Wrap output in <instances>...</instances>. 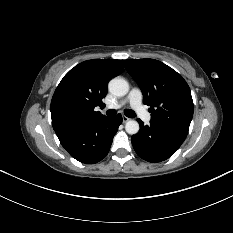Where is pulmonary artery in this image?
Masks as SVG:
<instances>
[{
	"instance_id": "1",
	"label": "pulmonary artery",
	"mask_w": 233,
	"mask_h": 233,
	"mask_svg": "<svg viewBox=\"0 0 233 233\" xmlns=\"http://www.w3.org/2000/svg\"><path fill=\"white\" fill-rule=\"evenodd\" d=\"M126 103H129L130 106L134 109V111L145 121L149 122L151 120L150 115L148 112L143 108L142 105V93L140 89L138 88H132L129 92L127 98L124 101H121L120 103H115L112 105H109L108 109H118L125 105Z\"/></svg>"
}]
</instances>
